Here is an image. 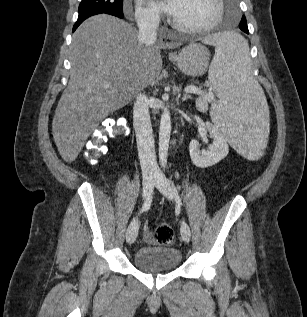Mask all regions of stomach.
Masks as SVG:
<instances>
[{"label": "stomach", "mask_w": 307, "mask_h": 317, "mask_svg": "<svg viewBox=\"0 0 307 317\" xmlns=\"http://www.w3.org/2000/svg\"><path fill=\"white\" fill-rule=\"evenodd\" d=\"M169 58L183 73L197 77L206 72L210 53L205 46L190 43L180 52L171 54Z\"/></svg>", "instance_id": "1"}]
</instances>
